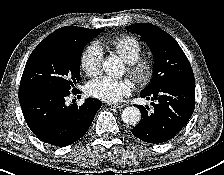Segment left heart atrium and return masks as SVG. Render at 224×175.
<instances>
[{
  "mask_svg": "<svg viewBox=\"0 0 224 175\" xmlns=\"http://www.w3.org/2000/svg\"><path fill=\"white\" fill-rule=\"evenodd\" d=\"M133 85L128 79L101 76L92 80L87 87L88 93L107 102H117L132 92Z\"/></svg>",
  "mask_w": 224,
  "mask_h": 175,
  "instance_id": "obj_1",
  "label": "left heart atrium"
}]
</instances>
